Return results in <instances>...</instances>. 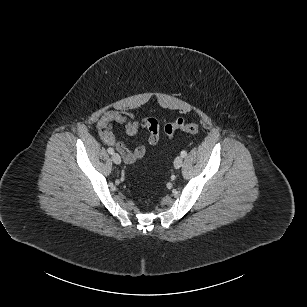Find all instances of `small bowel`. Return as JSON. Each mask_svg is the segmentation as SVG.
Wrapping results in <instances>:
<instances>
[{"instance_id": "1", "label": "small bowel", "mask_w": 307, "mask_h": 307, "mask_svg": "<svg viewBox=\"0 0 307 307\" xmlns=\"http://www.w3.org/2000/svg\"><path fill=\"white\" fill-rule=\"evenodd\" d=\"M113 124L124 125L125 132L129 136L137 134L140 129H146L149 132L148 143L150 146L156 145L159 141V124L154 118H144L138 121L130 112L117 110L105 112L97 123L99 136L103 143L114 146L126 163H133L143 158L146 154V148L140 145L130 149L123 142L116 140L111 128Z\"/></svg>"}]
</instances>
